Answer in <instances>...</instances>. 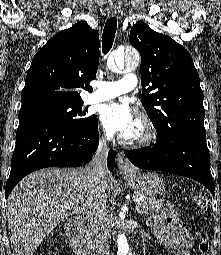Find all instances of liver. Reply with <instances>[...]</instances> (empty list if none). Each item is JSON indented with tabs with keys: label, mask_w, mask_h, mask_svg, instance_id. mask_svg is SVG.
I'll use <instances>...</instances> for the list:
<instances>
[{
	"label": "liver",
	"mask_w": 221,
	"mask_h": 255,
	"mask_svg": "<svg viewBox=\"0 0 221 255\" xmlns=\"http://www.w3.org/2000/svg\"><path fill=\"white\" fill-rule=\"evenodd\" d=\"M111 177L90 178L89 168H47L23 178L7 199L13 255H33L46 236L68 216L86 214L92 202L106 203Z\"/></svg>",
	"instance_id": "obj_1"
}]
</instances>
